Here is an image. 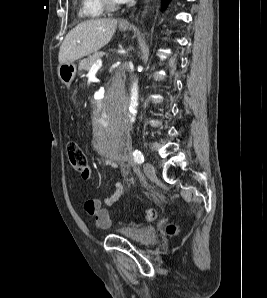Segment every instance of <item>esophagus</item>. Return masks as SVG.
I'll return each mask as SVG.
<instances>
[{"mask_svg": "<svg viewBox=\"0 0 267 298\" xmlns=\"http://www.w3.org/2000/svg\"><path fill=\"white\" fill-rule=\"evenodd\" d=\"M119 24L121 26H128L129 25V18H124V19H121Z\"/></svg>", "mask_w": 267, "mask_h": 298, "instance_id": "esophagus-1", "label": "esophagus"}]
</instances>
